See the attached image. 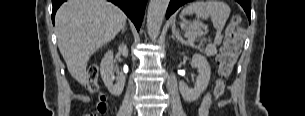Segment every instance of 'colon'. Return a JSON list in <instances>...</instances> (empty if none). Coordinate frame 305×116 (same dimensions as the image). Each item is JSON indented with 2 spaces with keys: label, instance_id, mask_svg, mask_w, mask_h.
Listing matches in <instances>:
<instances>
[{
  "label": "colon",
  "instance_id": "colon-1",
  "mask_svg": "<svg viewBox=\"0 0 305 116\" xmlns=\"http://www.w3.org/2000/svg\"><path fill=\"white\" fill-rule=\"evenodd\" d=\"M238 22L239 18L234 17L226 31L221 51L217 57L219 77L213 89L214 98H219L223 95L226 79L230 76L240 52V39L235 31ZM98 78V67L91 65L87 71L86 86L90 92L97 94L98 98L96 101V113H91L87 116L104 114L107 110L106 97L100 92Z\"/></svg>",
  "mask_w": 305,
  "mask_h": 116
}]
</instances>
